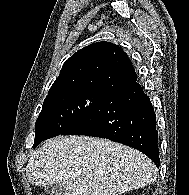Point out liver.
<instances>
[{
  "instance_id": "obj_1",
  "label": "liver",
  "mask_w": 189,
  "mask_h": 195,
  "mask_svg": "<svg viewBox=\"0 0 189 195\" xmlns=\"http://www.w3.org/2000/svg\"><path fill=\"white\" fill-rule=\"evenodd\" d=\"M26 177L36 186L61 184L64 195H121L150 185L157 168L143 153L123 144L58 136L33 152Z\"/></svg>"
}]
</instances>
